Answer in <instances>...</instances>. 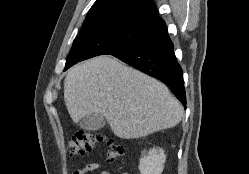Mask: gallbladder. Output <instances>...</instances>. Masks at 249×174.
<instances>
[{
  "label": "gallbladder",
  "instance_id": "gallbladder-1",
  "mask_svg": "<svg viewBox=\"0 0 249 174\" xmlns=\"http://www.w3.org/2000/svg\"><path fill=\"white\" fill-rule=\"evenodd\" d=\"M106 123V119L103 115L99 113H92L85 116L79 123L80 127L89 130V131H97L104 127Z\"/></svg>",
  "mask_w": 249,
  "mask_h": 174
}]
</instances>
